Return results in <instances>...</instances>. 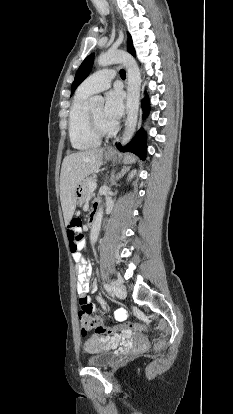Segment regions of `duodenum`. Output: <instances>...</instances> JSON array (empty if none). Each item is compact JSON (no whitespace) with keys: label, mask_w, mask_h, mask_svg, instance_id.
Instances as JSON below:
<instances>
[{"label":"duodenum","mask_w":233,"mask_h":414,"mask_svg":"<svg viewBox=\"0 0 233 414\" xmlns=\"http://www.w3.org/2000/svg\"><path fill=\"white\" fill-rule=\"evenodd\" d=\"M96 218H97V212L96 211H93L92 214H91V216H90V222H91V224H93L95 222Z\"/></svg>","instance_id":"obj_1"}]
</instances>
